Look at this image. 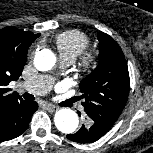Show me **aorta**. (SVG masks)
Segmentation results:
<instances>
[{
  "mask_svg": "<svg viewBox=\"0 0 153 153\" xmlns=\"http://www.w3.org/2000/svg\"><path fill=\"white\" fill-rule=\"evenodd\" d=\"M55 62L56 57L49 49L41 50L36 54L34 59L35 67L41 71L50 70L55 65ZM54 122L57 129L65 134L73 133L79 125L77 114L67 108L60 109L56 112Z\"/></svg>",
  "mask_w": 153,
  "mask_h": 153,
  "instance_id": "762f6f07",
  "label": "aorta"
}]
</instances>
